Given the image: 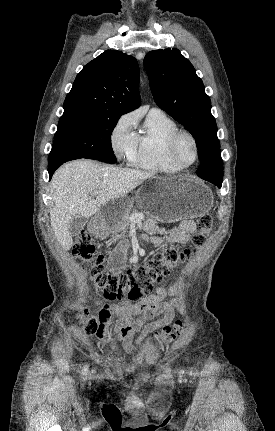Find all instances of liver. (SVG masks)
Returning <instances> with one entry per match:
<instances>
[{"label": "liver", "mask_w": 275, "mask_h": 431, "mask_svg": "<svg viewBox=\"0 0 275 431\" xmlns=\"http://www.w3.org/2000/svg\"><path fill=\"white\" fill-rule=\"evenodd\" d=\"M153 178V174L135 169L101 166L91 160H76L61 166L51 182L54 206L50 210L51 226L64 250L73 245L69 226L75 216L92 217L101 206ZM97 190L96 199L92 192Z\"/></svg>", "instance_id": "obj_1"}]
</instances>
